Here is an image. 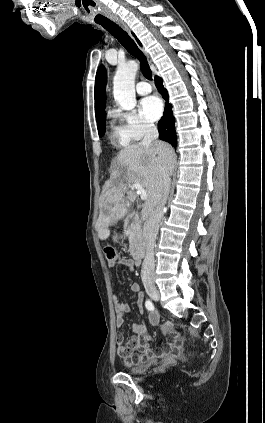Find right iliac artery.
Here are the masks:
<instances>
[{"instance_id":"obj_1","label":"right iliac artery","mask_w":265,"mask_h":423,"mask_svg":"<svg viewBox=\"0 0 265 423\" xmlns=\"http://www.w3.org/2000/svg\"><path fill=\"white\" fill-rule=\"evenodd\" d=\"M145 306H146V308H147L148 310H153V309H154L153 303H152L150 300H147V301L145 302Z\"/></svg>"}]
</instances>
